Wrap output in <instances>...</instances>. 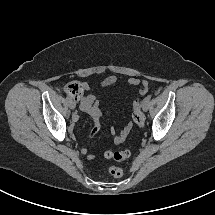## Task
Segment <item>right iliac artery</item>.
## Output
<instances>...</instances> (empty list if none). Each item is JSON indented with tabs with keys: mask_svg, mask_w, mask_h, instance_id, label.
Here are the masks:
<instances>
[{
	"mask_svg": "<svg viewBox=\"0 0 215 215\" xmlns=\"http://www.w3.org/2000/svg\"><path fill=\"white\" fill-rule=\"evenodd\" d=\"M66 99H67L68 101H70V100H71V98H70L69 96H67V97H66Z\"/></svg>",
	"mask_w": 215,
	"mask_h": 215,
	"instance_id": "82829eb1",
	"label": "right iliac artery"
}]
</instances>
